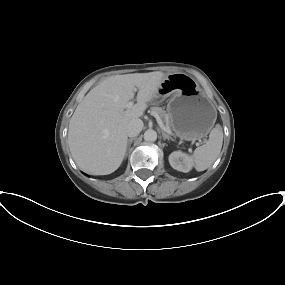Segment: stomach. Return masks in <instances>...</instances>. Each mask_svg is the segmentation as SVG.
I'll return each instance as SVG.
<instances>
[{"instance_id":"stomach-1","label":"stomach","mask_w":285,"mask_h":285,"mask_svg":"<svg viewBox=\"0 0 285 285\" xmlns=\"http://www.w3.org/2000/svg\"><path fill=\"white\" fill-rule=\"evenodd\" d=\"M167 97L170 124L180 139L195 141L210 132L217 118L216 108L191 76L167 75L152 101L157 103Z\"/></svg>"}]
</instances>
